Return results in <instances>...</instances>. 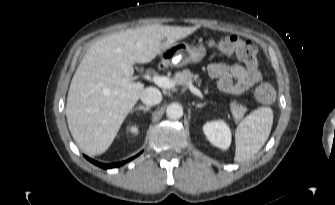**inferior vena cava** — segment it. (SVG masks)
Instances as JSON below:
<instances>
[{
	"mask_svg": "<svg viewBox=\"0 0 335 205\" xmlns=\"http://www.w3.org/2000/svg\"><path fill=\"white\" fill-rule=\"evenodd\" d=\"M140 99L145 105L152 106L161 102L162 94L157 88L147 87L142 91Z\"/></svg>",
	"mask_w": 335,
	"mask_h": 205,
	"instance_id": "obj_1",
	"label": "inferior vena cava"
}]
</instances>
